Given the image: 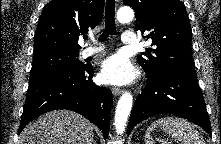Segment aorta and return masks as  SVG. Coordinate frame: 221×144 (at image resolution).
Segmentation results:
<instances>
[{
    "mask_svg": "<svg viewBox=\"0 0 221 144\" xmlns=\"http://www.w3.org/2000/svg\"><path fill=\"white\" fill-rule=\"evenodd\" d=\"M134 18V11L130 7H121L117 12V20L120 23H128ZM132 95L129 92H125L120 97L116 111H115V128L118 135L123 134L125 131L128 116L132 108Z\"/></svg>",
    "mask_w": 221,
    "mask_h": 144,
    "instance_id": "obj_1",
    "label": "aorta"
}]
</instances>
